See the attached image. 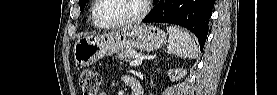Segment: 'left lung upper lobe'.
<instances>
[{"label": "left lung upper lobe", "instance_id": "5c2ea615", "mask_svg": "<svg viewBox=\"0 0 277 95\" xmlns=\"http://www.w3.org/2000/svg\"><path fill=\"white\" fill-rule=\"evenodd\" d=\"M79 2H80V10L83 11L88 0H79Z\"/></svg>", "mask_w": 277, "mask_h": 95}]
</instances>
